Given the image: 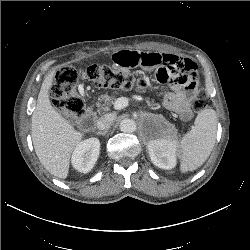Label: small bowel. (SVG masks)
Instances as JSON below:
<instances>
[{"label":"small bowel","mask_w":250,"mask_h":250,"mask_svg":"<svg viewBox=\"0 0 250 250\" xmlns=\"http://www.w3.org/2000/svg\"><path fill=\"white\" fill-rule=\"evenodd\" d=\"M113 61L121 68L154 69L156 80L171 87L164 96L165 107L183 120L191 117L190 101L201 84L197 65L192 60L168 53L122 50L114 53Z\"/></svg>","instance_id":"obj_1"}]
</instances>
